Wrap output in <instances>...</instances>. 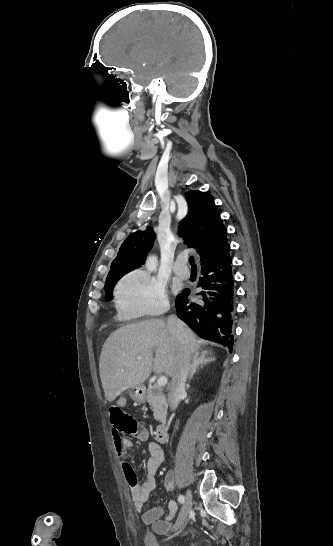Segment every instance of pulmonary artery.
Masks as SVG:
<instances>
[{"label": "pulmonary artery", "mask_w": 333, "mask_h": 546, "mask_svg": "<svg viewBox=\"0 0 333 546\" xmlns=\"http://www.w3.org/2000/svg\"><path fill=\"white\" fill-rule=\"evenodd\" d=\"M186 263V257H179L173 266L174 273L182 279H187L190 277V270Z\"/></svg>", "instance_id": "e3ab8cb5"}]
</instances>
